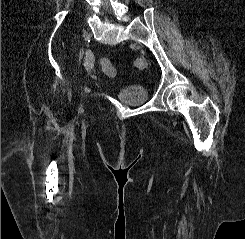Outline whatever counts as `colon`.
I'll return each mask as SVG.
<instances>
[{"instance_id": "1", "label": "colon", "mask_w": 245, "mask_h": 239, "mask_svg": "<svg viewBox=\"0 0 245 239\" xmlns=\"http://www.w3.org/2000/svg\"><path fill=\"white\" fill-rule=\"evenodd\" d=\"M101 65H102V69L103 71L109 75V76H114L116 74V70L115 67L113 66V64L111 63V61L107 58H103L101 60Z\"/></svg>"}]
</instances>
